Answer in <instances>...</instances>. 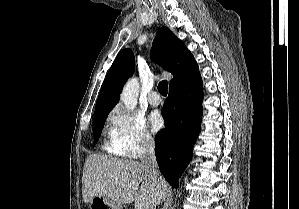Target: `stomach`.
<instances>
[{"label":"stomach","instance_id":"0dacf381","mask_svg":"<svg viewBox=\"0 0 299 209\" xmlns=\"http://www.w3.org/2000/svg\"><path fill=\"white\" fill-rule=\"evenodd\" d=\"M90 209H122V207L105 197L95 196L90 201Z\"/></svg>","mask_w":299,"mask_h":209}]
</instances>
